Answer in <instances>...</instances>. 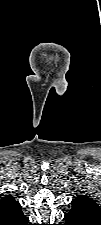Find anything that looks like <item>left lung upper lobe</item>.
I'll list each match as a JSON object with an SVG mask.
<instances>
[{"label": "left lung upper lobe", "instance_id": "1", "mask_svg": "<svg viewBox=\"0 0 101 225\" xmlns=\"http://www.w3.org/2000/svg\"><path fill=\"white\" fill-rule=\"evenodd\" d=\"M72 208H79L100 214V208L98 204L88 196L79 195L72 200Z\"/></svg>", "mask_w": 101, "mask_h": 225}]
</instances>
